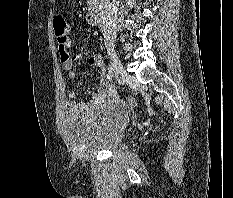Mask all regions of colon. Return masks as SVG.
<instances>
[{
  "label": "colon",
  "instance_id": "1",
  "mask_svg": "<svg viewBox=\"0 0 233 198\" xmlns=\"http://www.w3.org/2000/svg\"><path fill=\"white\" fill-rule=\"evenodd\" d=\"M53 26L58 41L66 42L69 40L70 28L63 17L56 16L53 20ZM127 102L131 105H137V102L131 97L127 98Z\"/></svg>",
  "mask_w": 233,
  "mask_h": 198
}]
</instances>
